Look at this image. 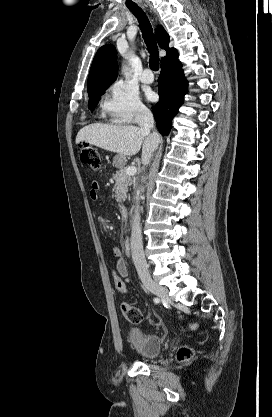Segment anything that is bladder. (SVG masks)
I'll return each mask as SVG.
<instances>
[{"label": "bladder", "mask_w": 272, "mask_h": 417, "mask_svg": "<svg viewBox=\"0 0 272 417\" xmlns=\"http://www.w3.org/2000/svg\"><path fill=\"white\" fill-rule=\"evenodd\" d=\"M129 341L137 354L144 359L156 358L163 346L161 337L155 334H145L138 329H131Z\"/></svg>", "instance_id": "31cf9c89"}]
</instances>
